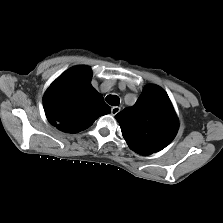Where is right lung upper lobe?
Returning a JSON list of instances; mask_svg holds the SVG:
<instances>
[{"mask_svg": "<svg viewBox=\"0 0 223 223\" xmlns=\"http://www.w3.org/2000/svg\"><path fill=\"white\" fill-rule=\"evenodd\" d=\"M91 77L89 67H73L59 76L45 93L46 117L59 130L76 133L110 113L103 97L91 86Z\"/></svg>", "mask_w": 223, "mask_h": 223, "instance_id": "obj_1", "label": "right lung upper lobe"}]
</instances>
